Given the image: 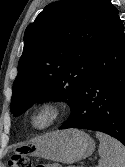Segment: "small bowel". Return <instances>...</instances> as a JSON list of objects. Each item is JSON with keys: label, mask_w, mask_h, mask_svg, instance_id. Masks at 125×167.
Masks as SVG:
<instances>
[{"label": "small bowel", "mask_w": 125, "mask_h": 167, "mask_svg": "<svg viewBox=\"0 0 125 167\" xmlns=\"http://www.w3.org/2000/svg\"><path fill=\"white\" fill-rule=\"evenodd\" d=\"M37 167H57L55 165H38Z\"/></svg>", "instance_id": "small-bowel-1"}]
</instances>
